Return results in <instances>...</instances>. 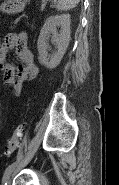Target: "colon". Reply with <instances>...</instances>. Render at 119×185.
I'll list each match as a JSON object with an SVG mask.
<instances>
[{
  "label": "colon",
  "instance_id": "5ec220e1",
  "mask_svg": "<svg viewBox=\"0 0 119 185\" xmlns=\"http://www.w3.org/2000/svg\"><path fill=\"white\" fill-rule=\"evenodd\" d=\"M23 131H24L23 124H20L15 128L11 137L7 140L5 144V151L7 155H12L19 149Z\"/></svg>",
  "mask_w": 119,
  "mask_h": 185
}]
</instances>
